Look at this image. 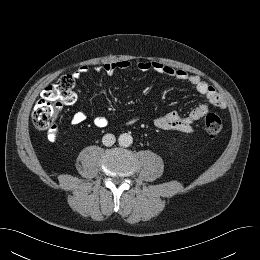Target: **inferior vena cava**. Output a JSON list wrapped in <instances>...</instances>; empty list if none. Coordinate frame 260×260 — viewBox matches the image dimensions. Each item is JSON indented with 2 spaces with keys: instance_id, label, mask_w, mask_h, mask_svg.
Returning <instances> with one entry per match:
<instances>
[{
  "instance_id": "inferior-vena-cava-1",
  "label": "inferior vena cava",
  "mask_w": 260,
  "mask_h": 260,
  "mask_svg": "<svg viewBox=\"0 0 260 260\" xmlns=\"http://www.w3.org/2000/svg\"><path fill=\"white\" fill-rule=\"evenodd\" d=\"M116 141V138L113 134H105L102 138V143L103 145L109 147V146H112Z\"/></svg>"
}]
</instances>
